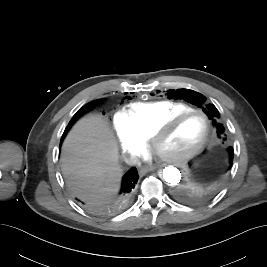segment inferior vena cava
I'll return each mask as SVG.
<instances>
[{
  "label": "inferior vena cava",
  "mask_w": 267,
  "mask_h": 267,
  "mask_svg": "<svg viewBox=\"0 0 267 267\" xmlns=\"http://www.w3.org/2000/svg\"><path fill=\"white\" fill-rule=\"evenodd\" d=\"M124 161L128 165H139L140 164V161H139L138 157L133 156V155H125L124 156Z\"/></svg>",
  "instance_id": "inferior-vena-cava-1"
}]
</instances>
